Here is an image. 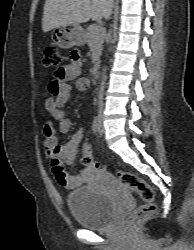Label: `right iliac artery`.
<instances>
[{"instance_id":"1","label":"right iliac artery","mask_w":194,"mask_h":250,"mask_svg":"<svg viewBox=\"0 0 194 250\" xmlns=\"http://www.w3.org/2000/svg\"><path fill=\"white\" fill-rule=\"evenodd\" d=\"M99 126H100V117L99 116H95L94 120L92 122V130H93L94 133L98 132Z\"/></svg>"}]
</instances>
